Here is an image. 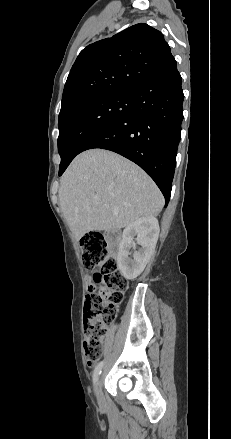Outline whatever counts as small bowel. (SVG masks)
Wrapping results in <instances>:
<instances>
[{
    "label": "small bowel",
    "instance_id": "obj_1",
    "mask_svg": "<svg viewBox=\"0 0 231 439\" xmlns=\"http://www.w3.org/2000/svg\"><path fill=\"white\" fill-rule=\"evenodd\" d=\"M92 289H93V286L90 285L89 288H88V290L91 291Z\"/></svg>",
    "mask_w": 231,
    "mask_h": 439
}]
</instances>
